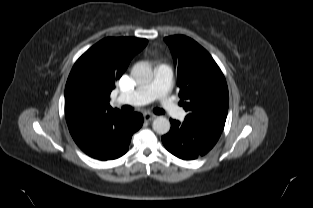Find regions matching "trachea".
<instances>
[{
	"instance_id": "trachea-1",
	"label": "trachea",
	"mask_w": 313,
	"mask_h": 208,
	"mask_svg": "<svg viewBox=\"0 0 313 208\" xmlns=\"http://www.w3.org/2000/svg\"><path fill=\"white\" fill-rule=\"evenodd\" d=\"M154 113L157 115H162L165 113V111L163 109L156 108L154 109Z\"/></svg>"
}]
</instances>
